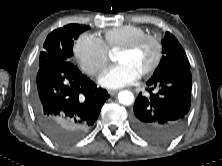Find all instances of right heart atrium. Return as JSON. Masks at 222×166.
Segmentation results:
<instances>
[{
  "mask_svg": "<svg viewBox=\"0 0 222 166\" xmlns=\"http://www.w3.org/2000/svg\"><path fill=\"white\" fill-rule=\"evenodd\" d=\"M73 53L81 70L90 77H97L109 61L104 41L95 34H81L74 44Z\"/></svg>",
  "mask_w": 222,
  "mask_h": 166,
  "instance_id": "right-heart-atrium-1",
  "label": "right heart atrium"
}]
</instances>
